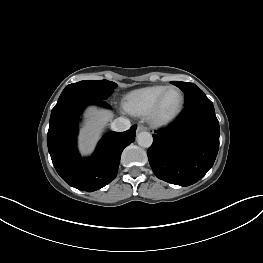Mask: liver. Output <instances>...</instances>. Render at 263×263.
Wrapping results in <instances>:
<instances>
[{
  "label": "liver",
  "instance_id": "1",
  "mask_svg": "<svg viewBox=\"0 0 263 263\" xmlns=\"http://www.w3.org/2000/svg\"><path fill=\"white\" fill-rule=\"evenodd\" d=\"M88 116L91 124V128L86 129L83 132L81 138V149L85 152H89L94 147L96 141L100 137V131H94L96 125L103 126L111 118V114L108 112L97 111L95 109H90L88 111Z\"/></svg>",
  "mask_w": 263,
  "mask_h": 263
}]
</instances>
